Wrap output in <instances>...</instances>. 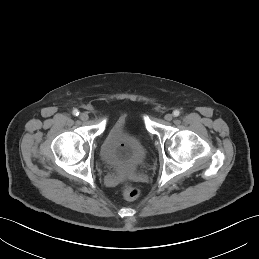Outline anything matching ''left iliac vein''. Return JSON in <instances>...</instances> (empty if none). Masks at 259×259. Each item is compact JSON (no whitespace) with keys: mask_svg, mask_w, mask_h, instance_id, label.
<instances>
[{"mask_svg":"<svg viewBox=\"0 0 259 259\" xmlns=\"http://www.w3.org/2000/svg\"><path fill=\"white\" fill-rule=\"evenodd\" d=\"M166 121H171L173 119V115L171 113H168L164 116Z\"/></svg>","mask_w":259,"mask_h":259,"instance_id":"obj_1","label":"left iliac vein"}]
</instances>
